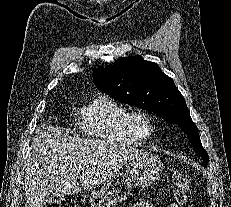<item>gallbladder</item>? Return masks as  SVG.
<instances>
[{"label":"gallbladder","instance_id":"obj_1","mask_svg":"<svg viewBox=\"0 0 231 207\" xmlns=\"http://www.w3.org/2000/svg\"><path fill=\"white\" fill-rule=\"evenodd\" d=\"M53 200H55V196H53V195H51V196H49V197L47 198V201H48V202H51V201H53Z\"/></svg>","mask_w":231,"mask_h":207}]
</instances>
